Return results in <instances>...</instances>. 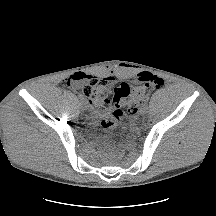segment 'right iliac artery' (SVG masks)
Returning <instances> with one entry per match:
<instances>
[{
  "label": "right iliac artery",
  "instance_id": "82829eb1",
  "mask_svg": "<svg viewBox=\"0 0 216 216\" xmlns=\"http://www.w3.org/2000/svg\"><path fill=\"white\" fill-rule=\"evenodd\" d=\"M78 103H80L81 105L84 103L83 97H82V96H79V97H78Z\"/></svg>",
  "mask_w": 216,
  "mask_h": 216
}]
</instances>
